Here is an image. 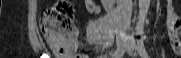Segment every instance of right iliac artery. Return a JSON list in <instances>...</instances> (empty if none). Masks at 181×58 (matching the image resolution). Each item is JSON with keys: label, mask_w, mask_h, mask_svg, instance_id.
Masks as SVG:
<instances>
[{"label": "right iliac artery", "mask_w": 181, "mask_h": 58, "mask_svg": "<svg viewBox=\"0 0 181 58\" xmlns=\"http://www.w3.org/2000/svg\"><path fill=\"white\" fill-rule=\"evenodd\" d=\"M125 52V48H119L115 51L113 58H121Z\"/></svg>", "instance_id": "obj_1"}]
</instances>
